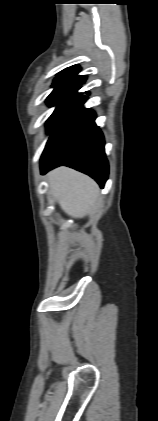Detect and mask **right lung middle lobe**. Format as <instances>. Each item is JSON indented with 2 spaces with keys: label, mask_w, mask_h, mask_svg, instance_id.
I'll return each mask as SVG.
<instances>
[{
  "label": "right lung middle lobe",
  "mask_w": 158,
  "mask_h": 421,
  "mask_svg": "<svg viewBox=\"0 0 158 421\" xmlns=\"http://www.w3.org/2000/svg\"><path fill=\"white\" fill-rule=\"evenodd\" d=\"M80 87L77 86H58L52 91L47 98V104L49 106L57 105L55 111L47 121V130L50 131L55 125L63 107L75 96L77 90Z\"/></svg>",
  "instance_id": "obj_1"
}]
</instances>
